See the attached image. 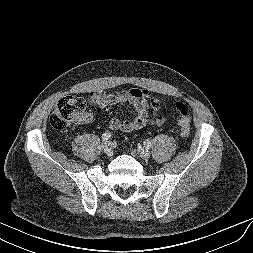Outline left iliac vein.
I'll return each instance as SVG.
<instances>
[{"mask_svg":"<svg viewBox=\"0 0 253 253\" xmlns=\"http://www.w3.org/2000/svg\"><path fill=\"white\" fill-rule=\"evenodd\" d=\"M137 152L139 154V156L144 159V160H147L149 159L150 157V152L146 149V148H143V147H139L137 149Z\"/></svg>","mask_w":253,"mask_h":253,"instance_id":"left-iliac-vein-1","label":"left iliac vein"}]
</instances>
